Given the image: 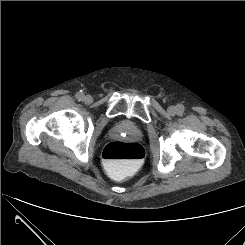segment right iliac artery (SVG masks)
<instances>
[{
	"mask_svg": "<svg viewBox=\"0 0 245 245\" xmlns=\"http://www.w3.org/2000/svg\"><path fill=\"white\" fill-rule=\"evenodd\" d=\"M83 97H84V95H83V93H81V92H79V93L76 94V98H77V100H79V101H82V100H83Z\"/></svg>",
	"mask_w": 245,
	"mask_h": 245,
	"instance_id": "1",
	"label": "right iliac artery"
}]
</instances>
